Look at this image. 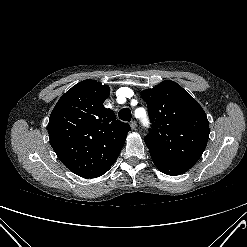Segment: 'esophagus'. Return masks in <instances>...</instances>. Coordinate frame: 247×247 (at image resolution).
I'll list each match as a JSON object with an SVG mask.
<instances>
[{
	"label": "esophagus",
	"instance_id": "1",
	"mask_svg": "<svg viewBox=\"0 0 247 247\" xmlns=\"http://www.w3.org/2000/svg\"><path fill=\"white\" fill-rule=\"evenodd\" d=\"M130 127H131V129H132V130H135V129H136V127H137V123H136V121H134V120H133V121H131V122H130Z\"/></svg>",
	"mask_w": 247,
	"mask_h": 247
}]
</instances>
